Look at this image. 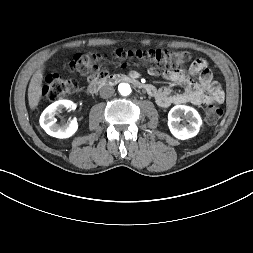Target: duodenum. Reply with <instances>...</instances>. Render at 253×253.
Wrapping results in <instances>:
<instances>
[{
	"instance_id": "obj_1",
	"label": "duodenum",
	"mask_w": 253,
	"mask_h": 253,
	"mask_svg": "<svg viewBox=\"0 0 253 253\" xmlns=\"http://www.w3.org/2000/svg\"><path fill=\"white\" fill-rule=\"evenodd\" d=\"M119 82L131 83L136 88H139V89L144 90L146 92H150L152 90L151 85L144 84L134 77H130L127 75L115 74V75L106 76L104 78H100L96 83H91L88 87V92L90 94H96L103 87H105L107 85L116 84Z\"/></svg>"
}]
</instances>
